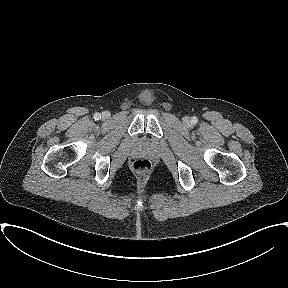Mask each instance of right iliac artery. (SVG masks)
<instances>
[{"label": "right iliac artery", "mask_w": 288, "mask_h": 288, "mask_svg": "<svg viewBox=\"0 0 288 288\" xmlns=\"http://www.w3.org/2000/svg\"><path fill=\"white\" fill-rule=\"evenodd\" d=\"M101 118V115L99 113L94 114V119L99 120Z\"/></svg>", "instance_id": "right-iliac-artery-1"}]
</instances>
